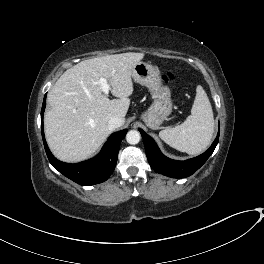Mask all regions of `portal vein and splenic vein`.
<instances>
[{
    "label": "portal vein and splenic vein",
    "instance_id": "portal-vein-and-splenic-vein-1",
    "mask_svg": "<svg viewBox=\"0 0 264 264\" xmlns=\"http://www.w3.org/2000/svg\"><path fill=\"white\" fill-rule=\"evenodd\" d=\"M98 84L101 87V90L104 94L108 95L109 94V90L111 89V85L109 84L108 80L104 77H101L98 80Z\"/></svg>",
    "mask_w": 264,
    "mask_h": 264
}]
</instances>
